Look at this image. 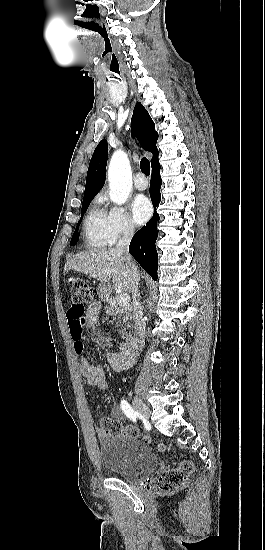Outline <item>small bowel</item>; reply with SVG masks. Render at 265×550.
<instances>
[{"mask_svg": "<svg viewBox=\"0 0 265 550\" xmlns=\"http://www.w3.org/2000/svg\"><path fill=\"white\" fill-rule=\"evenodd\" d=\"M101 311V304L98 301L89 305L86 311V315L82 322L88 327L91 339L100 344L106 345L108 343L107 338L96 328L95 324L98 320ZM70 321V319H69ZM77 323V321H75ZM72 338L74 339V352L80 356V372L86 378L87 383L90 386L98 389L108 388V382L106 380L105 371L101 364L92 363L89 358L84 355L85 343L87 341L86 335L83 330L76 337L73 336L70 328ZM106 359L110 366L116 371H125L132 366L135 360V356L131 350L121 346L118 350H109L106 353ZM110 416L117 420H124L125 413L123 412L121 405H115L110 410ZM97 435L105 441L107 435L101 430L97 429Z\"/></svg>", "mask_w": 265, "mask_h": 550, "instance_id": "c3829d8e", "label": "small bowel"}]
</instances>
